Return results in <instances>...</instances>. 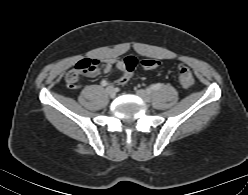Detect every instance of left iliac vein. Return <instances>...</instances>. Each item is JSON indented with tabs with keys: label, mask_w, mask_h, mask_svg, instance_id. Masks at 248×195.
Segmentation results:
<instances>
[{
	"label": "left iliac vein",
	"mask_w": 248,
	"mask_h": 195,
	"mask_svg": "<svg viewBox=\"0 0 248 195\" xmlns=\"http://www.w3.org/2000/svg\"><path fill=\"white\" fill-rule=\"evenodd\" d=\"M136 94L141 97L145 102H149L151 99V96L149 94V92L145 91V90H137Z\"/></svg>",
	"instance_id": "left-iliac-vein-1"
}]
</instances>
